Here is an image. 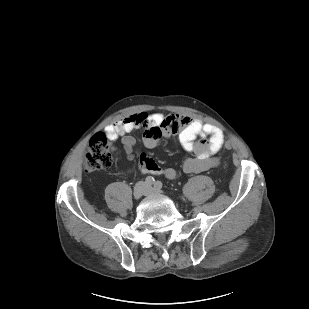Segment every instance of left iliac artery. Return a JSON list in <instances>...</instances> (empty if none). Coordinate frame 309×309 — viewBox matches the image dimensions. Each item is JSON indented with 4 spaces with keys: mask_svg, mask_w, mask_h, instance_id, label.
<instances>
[{
    "mask_svg": "<svg viewBox=\"0 0 309 309\" xmlns=\"http://www.w3.org/2000/svg\"><path fill=\"white\" fill-rule=\"evenodd\" d=\"M163 184L161 181H155L154 183V187L157 189V190H160L162 188Z\"/></svg>",
    "mask_w": 309,
    "mask_h": 309,
    "instance_id": "left-iliac-artery-1",
    "label": "left iliac artery"
}]
</instances>
